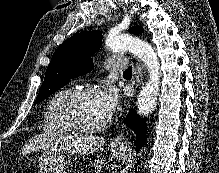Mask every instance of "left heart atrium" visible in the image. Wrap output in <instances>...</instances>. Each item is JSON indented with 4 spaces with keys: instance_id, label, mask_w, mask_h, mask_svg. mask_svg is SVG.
<instances>
[{
    "instance_id": "obj_1",
    "label": "left heart atrium",
    "mask_w": 219,
    "mask_h": 173,
    "mask_svg": "<svg viewBox=\"0 0 219 173\" xmlns=\"http://www.w3.org/2000/svg\"><path fill=\"white\" fill-rule=\"evenodd\" d=\"M98 96L108 115L114 113L118 109L120 98L117 90L113 86L107 85L98 92Z\"/></svg>"
}]
</instances>
